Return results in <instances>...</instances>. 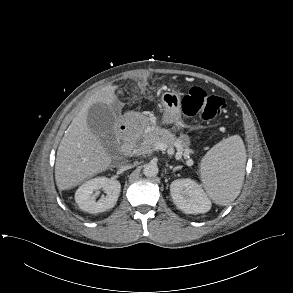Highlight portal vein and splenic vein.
Returning <instances> with one entry per match:
<instances>
[{"label":"portal vein and splenic vein","instance_id":"18ae733b","mask_svg":"<svg viewBox=\"0 0 293 293\" xmlns=\"http://www.w3.org/2000/svg\"><path fill=\"white\" fill-rule=\"evenodd\" d=\"M167 148H168V145L166 143L160 142V143H157L156 144V149H158V150L163 151V150H166ZM177 154L180 157V155L182 154V152L179 150ZM184 156L185 157H189V152H185L184 153Z\"/></svg>","mask_w":293,"mask_h":293}]
</instances>
